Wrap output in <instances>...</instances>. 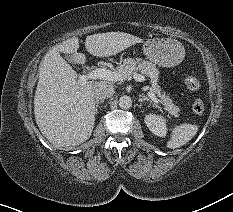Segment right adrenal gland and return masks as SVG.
<instances>
[{
    "mask_svg": "<svg viewBox=\"0 0 233 212\" xmlns=\"http://www.w3.org/2000/svg\"><path fill=\"white\" fill-rule=\"evenodd\" d=\"M104 102V100H96L95 101V113L97 114V112H98V107H99V105L101 104V103H103Z\"/></svg>",
    "mask_w": 233,
    "mask_h": 212,
    "instance_id": "2a0ac1e0",
    "label": "right adrenal gland"
}]
</instances>
